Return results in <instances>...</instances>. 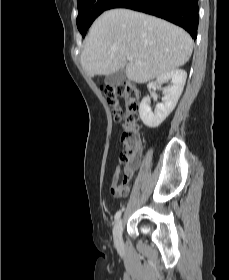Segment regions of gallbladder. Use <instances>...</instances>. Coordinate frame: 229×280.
Instances as JSON below:
<instances>
[{"instance_id":"gallbladder-1","label":"gallbladder","mask_w":229,"mask_h":280,"mask_svg":"<svg viewBox=\"0 0 229 280\" xmlns=\"http://www.w3.org/2000/svg\"><path fill=\"white\" fill-rule=\"evenodd\" d=\"M125 78H126L125 69L122 68L110 75H107L105 77L104 82L106 85H119L125 80Z\"/></svg>"}]
</instances>
